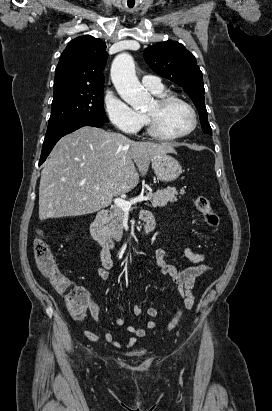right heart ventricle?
<instances>
[{"mask_svg": "<svg viewBox=\"0 0 272 411\" xmlns=\"http://www.w3.org/2000/svg\"><path fill=\"white\" fill-rule=\"evenodd\" d=\"M153 94H155V95H157V96H163V95H165V92H164V90L162 89V90H159V91H152V90H150Z\"/></svg>", "mask_w": 272, "mask_h": 411, "instance_id": "obj_1", "label": "right heart ventricle"}]
</instances>
